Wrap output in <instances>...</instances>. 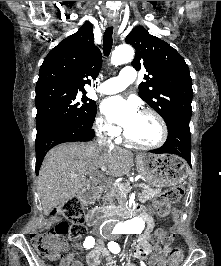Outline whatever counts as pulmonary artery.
Returning <instances> with one entry per match:
<instances>
[{
	"instance_id": "pulmonary-artery-1",
	"label": "pulmonary artery",
	"mask_w": 221,
	"mask_h": 266,
	"mask_svg": "<svg viewBox=\"0 0 221 266\" xmlns=\"http://www.w3.org/2000/svg\"><path fill=\"white\" fill-rule=\"evenodd\" d=\"M134 68L125 66L118 77L105 80L98 88L103 94H115L123 91L131 82L135 80Z\"/></svg>"
}]
</instances>
